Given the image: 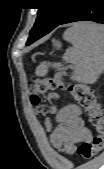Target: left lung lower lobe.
<instances>
[{"label":"left lung lower lobe","mask_w":104,"mask_h":169,"mask_svg":"<svg viewBox=\"0 0 104 169\" xmlns=\"http://www.w3.org/2000/svg\"><path fill=\"white\" fill-rule=\"evenodd\" d=\"M102 5V3L93 0H77L75 8L66 16V18L59 25L76 21H94L104 24V8L102 7ZM49 32H33L27 41V45L32 44L33 42L45 36Z\"/></svg>","instance_id":"1"}]
</instances>
